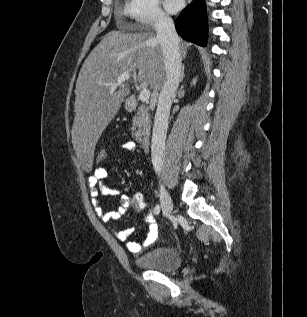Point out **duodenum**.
<instances>
[{
  "instance_id": "duodenum-1",
  "label": "duodenum",
  "mask_w": 307,
  "mask_h": 317,
  "mask_svg": "<svg viewBox=\"0 0 307 317\" xmlns=\"http://www.w3.org/2000/svg\"><path fill=\"white\" fill-rule=\"evenodd\" d=\"M127 107L131 110L134 111L138 107V101L135 98H129L127 100ZM141 145L144 151H148L151 145V135L148 132H144L142 137H141Z\"/></svg>"
}]
</instances>
